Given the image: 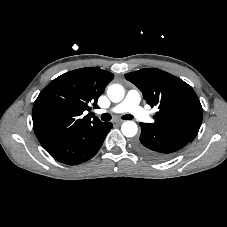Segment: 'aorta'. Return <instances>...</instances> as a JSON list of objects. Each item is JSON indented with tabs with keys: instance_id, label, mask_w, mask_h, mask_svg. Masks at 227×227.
<instances>
[{
	"instance_id": "aorta-1",
	"label": "aorta",
	"mask_w": 227,
	"mask_h": 227,
	"mask_svg": "<svg viewBox=\"0 0 227 227\" xmlns=\"http://www.w3.org/2000/svg\"><path fill=\"white\" fill-rule=\"evenodd\" d=\"M107 95L112 102L118 103L123 100L125 91L122 85L111 84L108 87ZM121 131L125 137H134L137 134L138 126L134 121H125L121 125Z\"/></svg>"
}]
</instances>
